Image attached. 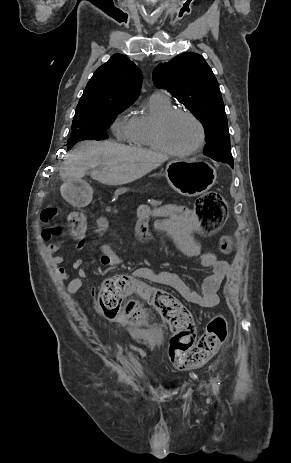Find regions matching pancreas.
<instances>
[{
    "label": "pancreas",
    "mask_w": 291,
    "mask_h": 463,
    "mask_svg": "<svg viewBox=\"0 0 291 463\" xmlns=\"http://www.w3.org/2000/svg\"><path fill=\"white\" fill-rule=\"evenodd\" d=\"M160 186L157 184H148L142 187L145 192L155 193L160 190Z\"/></svg>",
    "instance_id": "pancreas-1"
}]
</instances>
